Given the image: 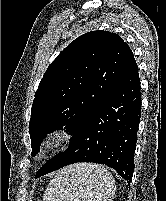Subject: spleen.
<instances>
[{
	"label": "spleen",
	"instance_id": "spleen-1",
	"mask_svg": "<svg viewBox=\"0 0 166 201\" xmlns=\"http://www.w3.org/2000/svg\"><path fill=\"white\" fill-rule=\"evenodd\" d=\"M114 184L112 175L103 166L73 164L56 173L43 201H112Z\"/></svg>",
	"mask_w": 166,
	"mask_h": 201
}]
</instances>
